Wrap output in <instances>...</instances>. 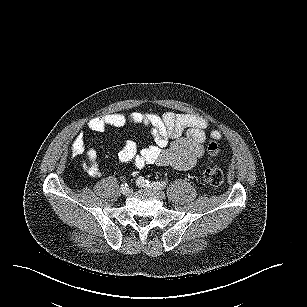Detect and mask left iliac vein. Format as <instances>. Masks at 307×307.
Masks as SVG:
<instances>
[{
    "mask_svg": "<svg viewBox=\"0 0 307 307\" xmlns=\"http://www.w3.org/2000/svg\"><path fill=\"white\" fill-rule=\"evenodd\" d=\"M149 189L158 193V195L162 198L165 196V194L163 192H160L159 189H156V188H153V187H149Z\"/></svg>",
    "mask_w": 307,
    "mask_h": 307,
    "instance_id": "left-iliac-vein-1",
    "label": "left iliac vein"
}]
</instances>
